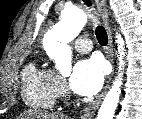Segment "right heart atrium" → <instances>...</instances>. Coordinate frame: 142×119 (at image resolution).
Instances as JSON below:
<instances>
[{
    "mask_svg": "<svg viewBox=\"0 0 142 119\" xmlns=\"http://www.w3.org/2000/svg\"><path fill=\"white\" fill-rule=\"evenodd\" d=\"M56 89H57V95L62 96L65 94V82L62 77L56 75Z\"/></svg>",
    "mask_w": 142,
    "mask_h": 119,
    "instance_id": "d8ad5b80",
    "label": "right heart atrium"
}]
</instances>
